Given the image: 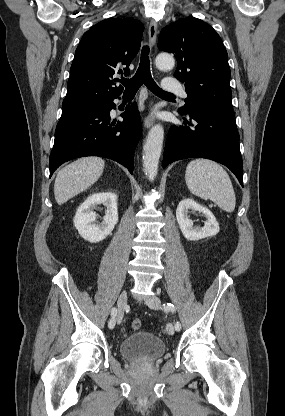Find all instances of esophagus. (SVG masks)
<instances>
[{
    "label": "esophagus",
    "mask_w": 285,
    "mask_h": 416,
    "mask_svg": "<svg viewBox=\"0 0 285 416\" xmlns=\"http://www.w3.org/2000/svg\"><path fill=\"white\" fill-rule=\"evenodd\" d=\"M148 36H149V42L150 46L154 47L156 43V36H157V27L154 20L150 21L149 27H148ZM154 124V117L147 116L144 120V126L145 128H150Z\"/></svg>",
    "instance_id": "esophagus-1"
}]
</instances>
